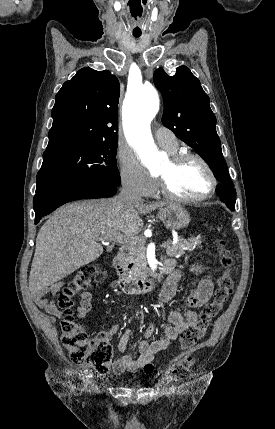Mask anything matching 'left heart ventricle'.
Masks as SVG:
<instances>
[{"label": "left heart ventricle", "mask_w": 275, "mask_h": 429, "mask_svg": "<svg viewBox=\"0 0 275 429\" xmlns=\"http://www.w3.org/2000/svg\"><path fill=\"white\" fill-rule=\"evenodd\" d=\"M168 187L177 195L197 198L205 195L210 188V179L204 167L195 160L173 165L170 160L156 171Z\"/></svg>", "instance_id": "left-heart-ventricle-1"}]
</instances>
